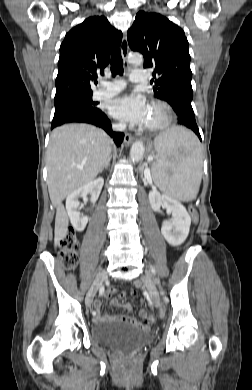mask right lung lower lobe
I'll return each instance as SVG.
<instances>
[{
	"label": "right lung lower lobe",
	"mask_w": 252,
	"mask_h": 390,
	"mask_svg": "<svg viewBox=\"0 0 252 390\" xmlns=\"http://www.w3.org/2000/svg\"><path fill=\"white\" fill-rule=\"evenodd\" d=\"M71 122L89 123L103 128L114 140L117 146H120L124 139V134L114 132L109 119L101 110H90L81 107H66L56 109L52 120L51 129L59 125Z\"/></svg>",
	"instance_id": "98d812e1"
}]
</instances>
